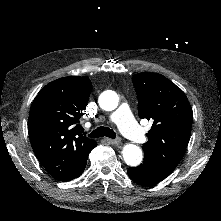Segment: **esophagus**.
Returning <instances> with one entry per match:
<instances>
[{"mask_svg": "<svg viewBox=\"0 0 221 221\" xmlns=\"http://www.w3.org/2000/svg\"><path fill=\"white\" fill-rule=\"evenodd\" d=\"M105 141H107L108 143H110L111 145H116L119 144V140H113V139H109V138H104Z\"/></svg>", "mask_w": 221, "mask_h": 221, "instance_id": "esophagus-1", "label": "esophagus"}]
</instances>
